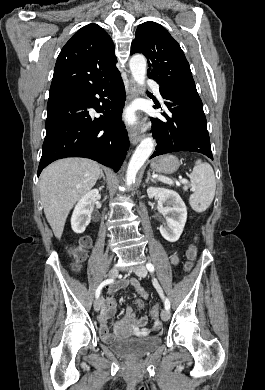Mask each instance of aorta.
<instances>
[{
  "mask_svg": "<svg viewBox=\"0 0 265 390\" xmlns=\"http://www.w3.org/2000/svg\"><path fill=\"white\" fill-rule=\"evenodd\" d=\"M130 70L135 82L143 88L146 79V58L141 54L133 55L129 61ZM154 149V140L150 137L143 139L137 146L129 162L126 172V184L132 185L135 182L136 175L146 160L152 154Z\"/></svg>",
  "mask_w": 265,
  "mask_h": 390,
  "instance_id": "obj_1",
  "label": "aorta"
}]
</instances>
